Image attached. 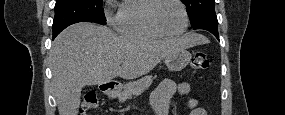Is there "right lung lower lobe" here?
Wrapping results in <instances>:
<instances>
[{"instance_id": "98d812e1", "label": "right lung lower lobe", "mask_w": 285, "mask_h": 115, "mask_svg": "<svg viewBox=\"0 0 285 115\" xmlns=\"http://www.w3.org/2000/svg\"><path fill=\"white\" fill-rule=\"evenodd\" d=\"M66 27H63V28H60L58 30H54L53 31V39L63 30L65 29Z\"/></svg>"}]
</instances>
